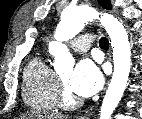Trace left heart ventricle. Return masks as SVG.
I'll use <instances>...</instances> for the list:
<instances>
[{"instance_id":"left-heart-ventricle-1","label":"left heart ventricle","mask_w":142,"mask_h":119,"mask_svg":"<svg viewBox=\"0 0 142 119\" xmlns=\"http://www.w3.org/2000/svg\"><path fill=\"white\" fill-rule=\"evenodd\" d=\"M61 79L65 82V84L67 85L68 84V81L70 79V75H64L61 77Z\"/></svg>"}]
</instances>
